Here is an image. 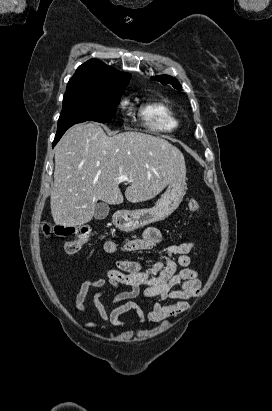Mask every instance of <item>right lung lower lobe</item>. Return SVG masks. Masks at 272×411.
Wrapping results in <instances>:
<instances>
[{
    "label": "right lung lower lobe",
    "mask_w": 272,
    "mask_h": 411,
    "mask_svg": "<svg viewBox=\"0 0 272 411\" xmlns=\"http://www.w3.org/2000/svg\"><path fill=\"white\" fill-rule=\"evenodd\" d=\"M62 136H56L53 142V146L60 140Z\"/></svg>",
    "instance_id": "obj_1"
}]
</instances>
